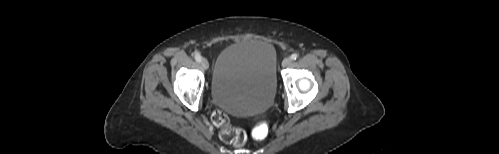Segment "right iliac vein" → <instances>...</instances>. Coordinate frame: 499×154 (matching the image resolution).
<instances>
[{"instance_id":"right-iliac-vein-1","label":"right iliac vein","mask_w":499,"mask_h":154,"mask_svg":"<svg viewBox=\"0 0 499 154\" xmlns=\"http://www.w3.org/2000/svg\"><path fill=\"white\" fill-rule=\"evenodd\" d=\"M201 66L205 70H207L209 68V62H208V60L206 58H202L201 59Z\"/></svg>"}]
</instances>
